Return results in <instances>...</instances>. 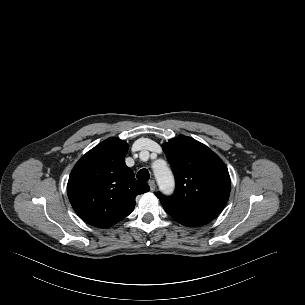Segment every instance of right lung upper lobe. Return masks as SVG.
Wrapping results in <instances>:
<instances>
[{"label": "right lung upper lobe", "instance_id": "1", "mask_svg": "<svg viewBox=\"0 0 305 305\" xmlns=\"http://www.w3.org/2000/svg\"><path fill=\"white\" fill-rule=\"evenodd\" d=\"M128 145L109 138L87 152L74 166L67 194L76 213L88 224L111 227L128 216L137 195L150 187L135 179L125 164Z\"/></svg>", "mask_w": 305, "mask_h": 305}]
</instances>
